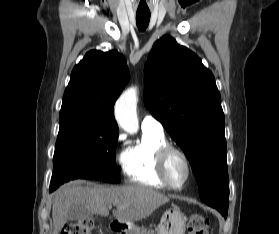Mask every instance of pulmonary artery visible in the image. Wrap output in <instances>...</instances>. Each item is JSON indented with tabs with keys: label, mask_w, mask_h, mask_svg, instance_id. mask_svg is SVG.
I'll list each match as a JSON object with an SVG mask.
<instances>
[{
	"label": "pulmonary artery",
	"mask_w": 279,
	"mask_h": 234,
	"mask_svg": "<svg viewBox=\"0 0 279 234\" xmlns=\"http://www.w3.org/2000/svg\"><path fill=\"white\" fill-rule=\"evenodd\" d=\"M142 131L163 133V125L152 115H145L141 122Z\"/></svg>",
	"instance_id": "obj_1"
}]
</instances>
